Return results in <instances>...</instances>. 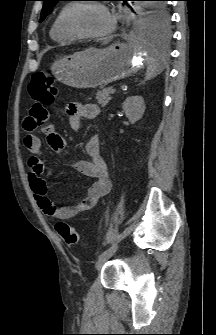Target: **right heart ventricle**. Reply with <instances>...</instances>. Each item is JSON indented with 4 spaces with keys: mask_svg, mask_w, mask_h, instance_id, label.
<instances>
[{
    "mask_svg": "<svg viewBox=\"0 0 216 335\" xmlns=\"http://www.w3.org/2000/svg\"><path fill=\"white\" fill-rule=\"evenodd\" d=\"M69 5L70 4H65L60 8L51 25L50 37L57 43L66 44L74 40V38L65 34L61 27L62 16L65 13L66 9L69 7Z\"/></svg>",
    "mask_w": 216,
    "mask_h": 335,
    "instance_id": "1",
    "label": "right heart ventricle"
}]
</instances>
